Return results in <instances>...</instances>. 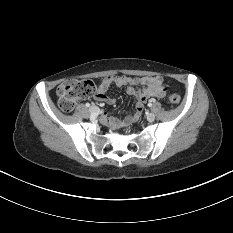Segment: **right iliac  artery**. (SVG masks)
<instances>
[{
    "instance_id": "1",
    "label": "right iliac artery",
    "mask_w": 233,
    "mask_h": 233,
    "mask_svg": "<svg viewBox=\"0 0 233 233\" xmlns=\"http://www.w3.org/2000/svg\"><path fill=\"white\" fill-rule=\"evenodd\" d=\"M85 106H86V107H90V104H89V103H86Z\"/></svg>"
}]
</instances>
